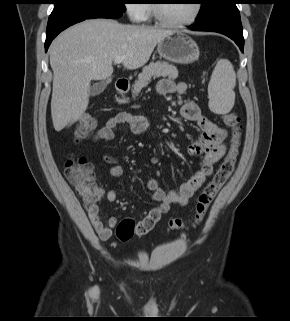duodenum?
<instances>
[{
	"label": "duodenum",
	"instance_id": "1",
	"mask_svg": "<svg viewBox=\"0 0 290 321\" xmlns=\"http://www.w3.org/2000/svg\"><path fill=\"white\" fill-rule=\"evenodd\" d=\"M116 87L120 92H126L129 88V81L127 79H119L116 82Z\"/></svg>",
	"mask_w": 290,
	"mask_h": 321
}]
</instances>
